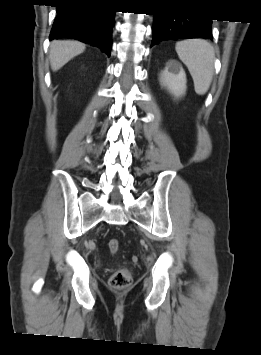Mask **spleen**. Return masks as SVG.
Wrapping results in <instances>:
<instances>
[{"instance_id": "3e777b00", "label": "spleen", "mask_w": 261, "mask_h": 355, "mask_svg": "<svg viewBox=\"0 0 261 355\" xmlns=\"http://www.w3.org/2000/svg\"><path fill=\"white\" fill-rule=\"evenodd\" d=\"M176 52L187 66L198 95H204L212 82L215 53L212 45L203 39H189L176 43Z\"/></svg>"}]
</instances>
